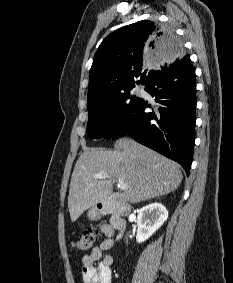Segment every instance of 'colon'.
<instances>
[{"label": "colon", "instance_id": "colon-1", "mask_svg": "<svg viewBox=\"0 0 233 283\" xmlns=\"http://www.w3.org/2000/svg\"><path fill=\"white\" fill-rule=\"evenodd\" d=\"M97 235V229L94 227H89L73 241V247L80 251L88 250L93 246Z\"/></svg>", "mask_w": 233, "mask_h": 283}]
</instances>
